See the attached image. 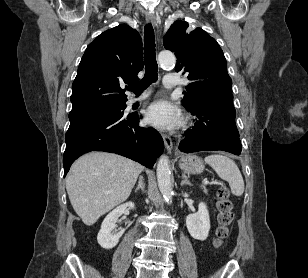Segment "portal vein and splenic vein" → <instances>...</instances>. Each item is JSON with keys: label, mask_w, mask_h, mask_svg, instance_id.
<instances>
[{"label": "portal vein and splenic vein", "mask_w": 308, "mask_h": 278, "mask_svg": "<svg viewBox=\"0 0 308 278\" xmlns=\"http://www.w3.org/2000/svg\"><path fill=\"white\" fill-rule=\"evenodd\" d=\"M211 183H215V182H209L208 180H205V181H204V184H205V185L211 184Z\"/></svg>", "instance_id": "obj_1"}]
</instances>
